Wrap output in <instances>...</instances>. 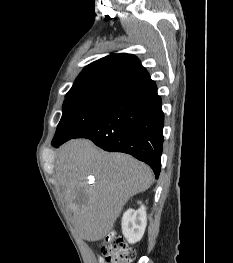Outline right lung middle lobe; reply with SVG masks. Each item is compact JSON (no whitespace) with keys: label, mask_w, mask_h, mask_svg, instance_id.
I'll use <instances>...</instances> for the list:
<instances>
[{"label":"right lung middle lobe","mask_w":233,"mask_h":263,"mask_svg":"<svg viewBox=\"0 0 233 263\" xmlns=\"http://www.w3.org/2000/svg\"><path fill=\"white\" fill-rule=\"evenodd\" d=\"M117 96L108 93L66 95L63 115L53 140H68L76 136L97 121Z\"/></svg>","instance_id":"obj_1"}]
</instances>
